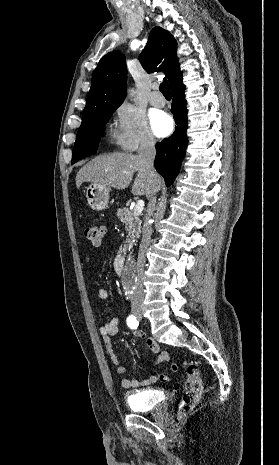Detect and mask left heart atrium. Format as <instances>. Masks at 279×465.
Here are the masks:
<instances>
[{
  "label": "left heart atrium",
  "instance_id": "39dd6f15",
  "mask_svg": "<svg viewBox=\"0 0 279 465\" xmlns=\"http://www.w3.org/2000/svg\"><path fill=\"white\" fill-rule=\"evenodd\" d=\"M151 127L158 137L167 136L173 129V121L164 112H155L151 116Z\"/></svg>",
  "mask_w": 279,
  "mask_h": 465
}]
</instances>
